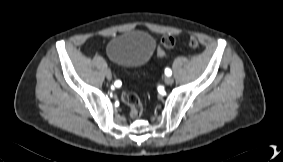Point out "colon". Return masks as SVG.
I'll list each match as a JSON object with an SVG mask.
<instances>
[{"mask_svg": "<svg viewBox=\"0 0 283 162\" xmlns=\"http://www.w3.org/2000/svg\"><path fill=\"white\" fill-rule=\"evenodd\" d=\"M174 45L175 40L171 35L163 36L157 50V55L160 58H166L168 56L167 50L173 48ZM187 45L190 48L195 49L198 47L199 43L195 37L191 36L187 41ZM121 100L124 104L128 106L129 113L132 118H137L142 114V103L136 94L132 92L123 91L121 93Z\"/></svg>", "mask_w": 283, "mask_h": 162, "instance_id": "colon-1", "label": "colon"}]
</instances>
